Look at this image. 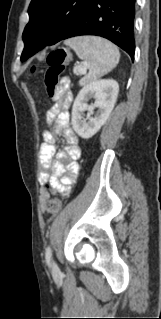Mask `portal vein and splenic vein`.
<instances>
[{
  "instance_id": "portal-vein-and-splenic-vein-1",
  "label": "portal vein and splenic vein",
  "mask_w": 161,
  "mask_h": 319,
  "mask_svg": "<svg viewBox=\"0 0 161 319\" xmlns=\"http://www.w3.org/2000/svg\"><path fill=\"white\" fill-rule=\"evenodd\" d=\"M86 73V69L85 68H79L77 70V74H85Z\"/></svg>"
}]
</instances>
